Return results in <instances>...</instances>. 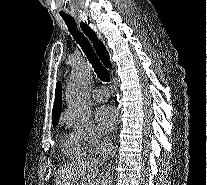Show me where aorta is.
Wrapping results in <instances>:
<instances>
[{"mask_svg":"<svg viewBox=\"0 0 207 185\" xmlns=\"http://www.w3.org/2000/svg\"><path fill=\"white\" fill-rule=\"evenodd\" d=\"M92 80L91 66L87 63H77L71 69L66 86L65 97L68 109L81 121L91 115L89 85Z\"/></svg>","mask_w":207,"mask_h":185,"instance_id":"762f6f07","label":"aorta"}]
</instances>
